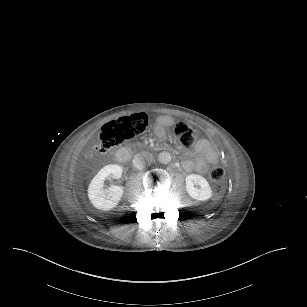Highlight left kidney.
Instances as JSON below:
<instances>
[{
	"mask_svg": "<svg viewBox=\"0 0 307 307\" xmlns=\"http://www.w3.org/2000/svg\"><path fill=\"white\" fill-rule=\"evenodd\" d=\"M186 191L190 197L199 201H206L212 196V189L208 181L198 174H190L185 178Z\"/></svg>",
	"mask_w": 307,
	"mask_h": 307,
	"instance_id": "5707ae66",
	"label": "left kidney"
}]
</instances>
